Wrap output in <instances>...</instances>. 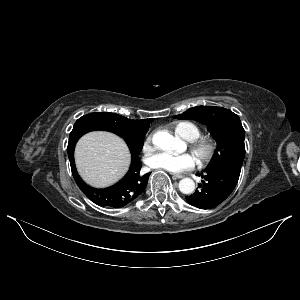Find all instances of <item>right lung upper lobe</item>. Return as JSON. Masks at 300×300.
Listing matches in <instances>:
<instances>
[{"label": "right lung upper lobe", "instance_id": "cb5924a9", "mask_svg": "<svg viewBox=\"0 0 300 300\" xmlns=\"http://www.w3.org/2000/svg\"><path fill=\"white\" fill-rule=\"evenodd\" d=\"M114 114V113H110ZM119 121L122 130L130 134L146 133L149 129V124L152 119L130 120L123 116L114 114Z\"/></svg>", "mask_w": 300, "mask_h": 300}]
</instances>
